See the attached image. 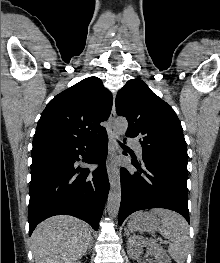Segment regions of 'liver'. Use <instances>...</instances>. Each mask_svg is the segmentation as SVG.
Segmentation results:
<instances>
[{"instance_id":"liver-1","label":"liver","mask_w":220,"mask_h":263,"mask_svg":"<svg viewBox=\"0 0 220 263\" xmlns=\"http://www.w3.org/2000/svg\"><path fill=\"white\" fill-rule=\"evenodd\" d=\"M89 225L59 215L41 222L31 236L36 263H74L84 256L91 241Z\"/></svg>"}]
</instances>
